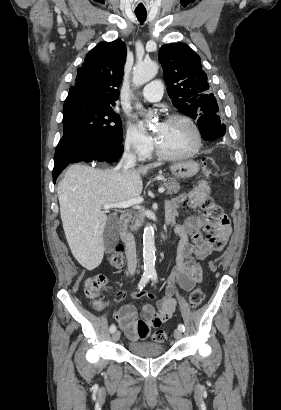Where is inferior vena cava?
Returning a JSON list of instances; mask_svg holds the SVG:
<instances>
[{
  "label": "inferior vena cava",
  "instance_id": "602c4592",
  "mask_svg": "<svg viewBox=\"0 0 281 410\" xmlns=\"http://www.w3.org/2000/svg\"><path fill=\"white\" fill-rule=\"evenodd\" d=\"M136 164V156L131 152L130 146L125 147V151L119 164L116 167L117 171L123 172L131 169ZM125 252L127 257L128 273L133 275L136 271L137 256H136V244L134 236L128 233L125 238Z\"/></svg>",
  "mask_w": 281,
  "mask_h": 410
}]
</instances>
